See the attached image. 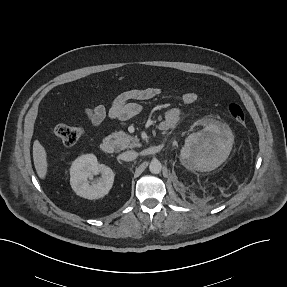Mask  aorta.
Masks as SVG:
<instances>
[{"label":"aorta","mask_w":287,"mask_h":287,"mask_svg":"<svg viewBox=\"0 0 287 287\" xmlns=\"http://www.w3.org/2000/svg\"><path fill=\"white\" fill-rule=\"evenodd\" d=\"M149 170L153 174H159L162 170V164L159 160L154 159L149 164Z\"/></svg>","instance_id":"obj_1"}]
</instances>
